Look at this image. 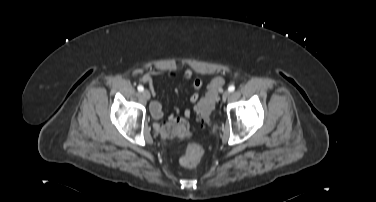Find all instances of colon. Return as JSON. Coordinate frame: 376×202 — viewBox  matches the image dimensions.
I'll list each match as a JSON object with an SVG mask.
<instances>
[{"instance_id":"colon-1","label":"colon","mask_w":376,"mask_h":202,"mask_svg":"<svg viewBox=\"0 0 376 202\" xmlns=\"http://www.w3.org/2000/svg\"><path fill=\"white\" fill-rule=\"evenodd\" d=\"M224 85L225 81L222 77L214 78L209 83L204 98L198 103L196 111L200 116V120L203 124L208 121L210 113L214 108ZM161 131L163 136L168 138L185 135L187 132V124L185 122L169 123L163 126ZM203 155L204 149L200 144L190 143L185 148L184 155L181 158V163L186 167H194L199 164Z\"/></svg>"}]
</instances>
